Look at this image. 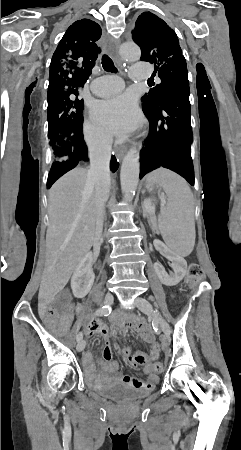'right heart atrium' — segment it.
I'll return each mask as SVG.
<instances>
[{"mask_svg":"<svg viewBox=\"0 0 241 450\" xmlns=\"http://www.w3.org/2000/svg\"><path fill=\"white\" fill-rule=\"evenodd\" d=\"M83 132L92 155H110L112 139L105 131L90 120H85Z\"/></svg>","mask_w":241,"mask_h":450,"instance_id":"obj_1","label":"right heart atrium"}]
</instances>
